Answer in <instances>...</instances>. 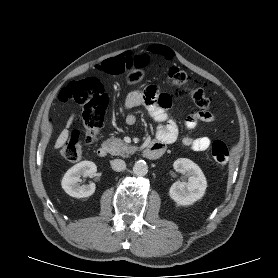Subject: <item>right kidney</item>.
<instances>
[{
	"mask_svg": "<svg viewBox=\"0 0 278 278\" xmlns=\"http://www.w3.org/2000/svg\"><path fill=\"white\" fill-rule=\"evenodd\" d=\"M97 166L92 161H82L71 167L63 176L61 185L64 191L76 198L89 197L95 192V184L79 185L80 177H94L96 175Z\"/></svg>",
	"mask_w": 278,
	"mask_h": 278,
	"instance_id": "1",
	"label": "right kidney"
}]
</instances>
